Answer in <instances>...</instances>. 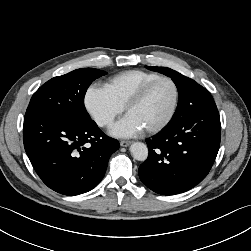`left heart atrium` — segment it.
<instances>
[{"mask_svg":"<svg viewBox=\"0 0 251 251\" xmlns=\"http://www.w3.org/2000/svg\"><path fill=\"white\" fill-rule=\"evenodd\" d=\"M142 127L131 116L126 115L111 130V134L117 137H132L140 134Z\"/></svg>","mask_w":251,"mask_h":251,"instance_id":"1","label":"left heart atrium"}]
</instances>
